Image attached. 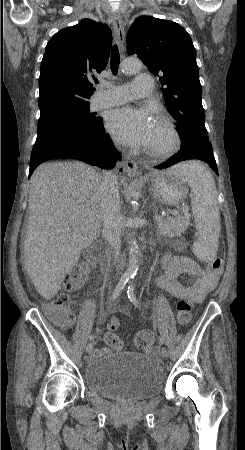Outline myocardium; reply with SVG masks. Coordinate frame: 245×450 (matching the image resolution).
I'll list each match as a JSON object with an SVG mask.
<instances>
[{
	"mask_svg": "<svg viewBox=\"0 0 245 450\" xmlns=\"http://www.w3.org/2000/svg\"><path fill=\"white\" fill-rule=\"evenodd\" d=\"M155 123L166 135L167 140L161 145L148 146L146 153L156 158L168 157L179 150L182 143L181 135L173 120L168 116L157 117Z\"/></svg>",
	"mask_w": 245,
	"mask_h": 450,
	"instance_id": "1",
	"label": "myocardium"
}]
</instances>
